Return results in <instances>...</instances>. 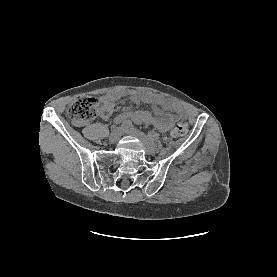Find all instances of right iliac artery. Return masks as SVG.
<instances>
[{
  "label": "right iliac artery",
  "mask_w": 277,
  "mask_h": 277,
  "mask_svg": "<svg viewBox=\"0 0 277 277\" xmlns=\"http://www.w3.org/2000/svg\"><path fill=\"white\" fill-rule=\"evenodd\" d=\"M121 122H117V124H120ZM132 127V122L130 120L123 121L121 126L119 127L120 131L125 130L127 128Z\"/></svg>",
  "instance_id": "right-iliac-artery-1"
}]
</instances>
